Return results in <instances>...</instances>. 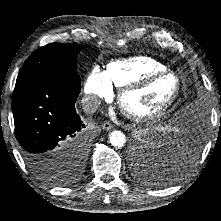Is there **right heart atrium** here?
<instances>
[{
    "mask_svg": "<svg viewBox=\"0 0 221 221\" xmlns=\"http://www.w3.org/2000/svg\"><path fill=\"white\" fill-rule=\"evenodd\" d=\"M84 92L95 104L101 99L109 98L112 94V86L105 74L98 68H94L86 79Z\"/></svg>",
    "mask_w": 221,
    "mask_h": 221,
    "instance_id": "d8ad5b80",
    "label": "right heart atrium"
}]
</instances>
